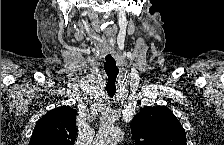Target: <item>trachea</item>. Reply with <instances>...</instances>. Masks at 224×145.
<instances>
[{
    "instance_id": "obj_1",
    "label": "trachea",
    "mask_w": 224,
    "mask_h": 145,
    "mask_svg": "<svg viewBox=\"0 0 224 145\" xmlns=\"http://www.w3.org/2000/svg\"><path fill=\"white\" fill-rule=\"evenodd\" d=\"M105 78H106V91L109 97H113L116 93V79L119 70L116 66V61L113 57L109 56L104 63Z\"/></svg>"
}]
</instances>
